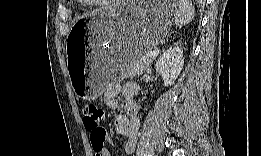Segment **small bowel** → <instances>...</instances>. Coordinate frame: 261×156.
I'll return each instance as SVG.
<instances>
[{"mask_svg":"<svg viewBox=\"0 0 261 156\" xmlns=\"http://www.w3.org/2000/svg\"><path fill=\"white\" fill-rule=\"evenodd\" d=\"M139 87L134 82L126 83L122 88V94L125 98L126 115H118L115 119L116 132L126 138L124 152L126 155H132L136 149L140 120L138 118V106L134 101ZM106 105L111 109H117L119 102L116 98L114 89H109L104 95ZM112 144V139L106 134L104 142ZM98 156H110V151L104 146L95 152Z\"/></svg>","mask_w":261,"mask_h":156,"instance_id":"small-bowel-1","label":"small bowel"}]
</instances>
